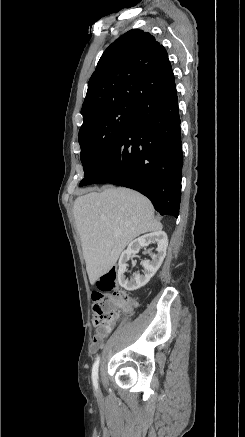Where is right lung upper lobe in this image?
<instances>
[{
    "label": "right lung upper lobe",
    "instance_id": "1",
    "mask_svg": "<svg viewBox=\"0 0 245 437\" xmlns=\"http://www.w3.org/2000/svg\"><path fill=\"white\" fill-rule=\"evenodd\" d=\"M175 90V77L164 46L151 34L132 29L102 54L88 82L81 114L84 120L108 105H137Z\"/></svg>",
    "mask_w": 245,
    "mask_h": 437
}]
</instances>
